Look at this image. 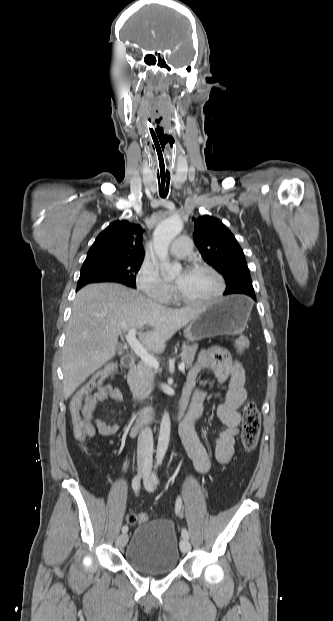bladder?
Instances as JSON below:
<instances>
[{
	"label": "bladder",
	"mask_w": 333,
	"mask_h": 621,
	"mask_svg": "<svg viewBox=\"0 0 333 621\" xmlns=\"http://www.w3.org/2000/svg\"><path fill=\"white\" fill-rule=\"evenodd\" d=\"M179 557L178 536L169 519L155 518L141 523L125 549V560L130 567L152 575L172 572Z\"/></svg>",
	"instance_id": "31cf9c89"
}]
</instances>
